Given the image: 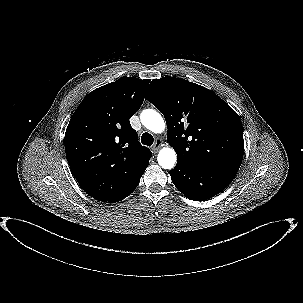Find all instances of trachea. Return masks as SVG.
<instances>
[{
	"instance_id": "obj_1",
	"label": "trachea",
	"mask_w": 303,
	"mask_h": 303,
	"mask_svg": "<svg viewBox=\"0 0 303 303\" xmlns=\"http://www.w3.org/2000/svg\"><path fill=\"white\" fill-rule=\"evenodd\" d=\"M141 142L144 145L151 146L154 142V138L150 133L145 132L141 136Z\"/></svg>"
}]
</instances>
